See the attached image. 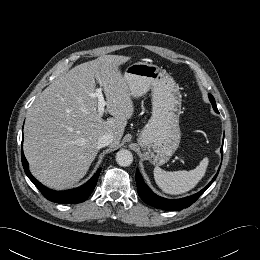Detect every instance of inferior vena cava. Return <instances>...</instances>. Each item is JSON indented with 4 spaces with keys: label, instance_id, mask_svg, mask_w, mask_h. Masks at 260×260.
I'll list each match as a JSON object with an SVG mask.
<instances>
[{
    "label": "inferior vena cava",
    "instance_id": "602c4592",
    "mask_svg": "<svg viewBox=\"0 0 260 260\" xmlns=\"http://www.w3.org/2000/svg\"><path fill=\"white\" fill-rule=\"evenodd\" d=\"M112 141H113V135L106 133V134L101 135L98 138L97 145L99 148H102V147L110 145L112 143Z\"/></svg>",
    "mask_w": 260,
    "mask_h": 260
}]
</instances>
